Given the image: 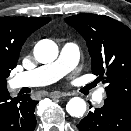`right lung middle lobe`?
Listing matches in <instances>:
<instances>
[{
    "label": "right lung middle lobe",
    "mask_w": 131,
    "mask_h": 131,
    "mask_svg": "<svg viewBox=\"0 0 131 131\" xmlns=\"http://www.w3.org/2000/svg\"><path fill=\"white\" fill-rule=\"evenodd\" d=\"M14 66H0V90L6 89V78L9 76L10 71Z\"/></svg>",
    "instance_id": "obj_1"
}]
</instances>
